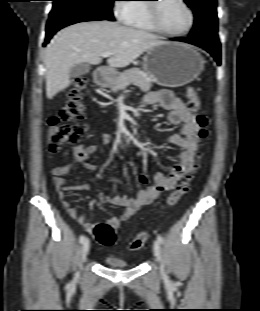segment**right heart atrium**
Wrapping results in <instances>:
<instances>
[{"instance_id": "d8ad5b80", "label": "right heart atrium", "mask_w": 260, "mask_h": 311, "mask_svg": "<svg viewBox=\"0 0 260 311\" xmlns=\"http://www.w3.org/2000/svg\"><path fill=\"white\" fill-rule=\"evenodd\" d=\"M130 11H131V6L125 3L124 0L115 1L114 13L119 20L125 22Z\"/></svg>"}]
</instances>
